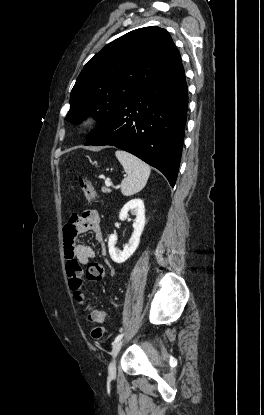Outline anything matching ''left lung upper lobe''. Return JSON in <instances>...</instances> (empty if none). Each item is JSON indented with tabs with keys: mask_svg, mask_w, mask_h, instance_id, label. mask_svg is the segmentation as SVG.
Listing matches in <instances>:
<instances>
[{
	"mask_svg": "<svg viewBox=\"0 0 264 415\" xmlns=\"http://www.w3.org/2000/svg\"><path fill=\"white\" fill-rule=\"evenodd\" d=\"M180 63V53L167 30H133L105 46L84 66L71 91L66 119L79 123L93 115L101 128L130 97Z\"/></svg>",
	"mask_w": 264,
	"mask_h": 415,
	"instance_id": "obj_1",
	"label": "left lung upper lobe"
}]
</instances>
